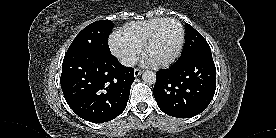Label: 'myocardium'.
<instances>
[{
	"label": "myocardium",
	"instance_id": "myocardium-1",
	"mask_svg": "<svg viewBox=\"0 0 276 138\" xmlns=\"http://www.w3.org/2000/svg\"><path fill=\"white\" fill-rule=\"evenodd\" d=\"M169 21H173V22H175L179 26L180 31H181L180 42L178 44V47H177L175 53L168 60L160 62V63H151L152 66L156 67V68H165V67H168L171 64H173L177 60V58L180 56V54L182 52V49L184 47V44H185V36H186V34H185V28H184L183 24L178 19H176L174 17H167V18H164L162 21H160L152 29V31L150 32L148 38L146 39V41H145V43H144V45L142 47V55H143V57L146 58V53H147L148 49L151 47V45L153 44V42L155 40V37L157 35V32L159 31L160 27L164 23L169 22Z\"/></svg>",
	"mask_w": 276,
	"mask_h": 138
}]
</instances>
